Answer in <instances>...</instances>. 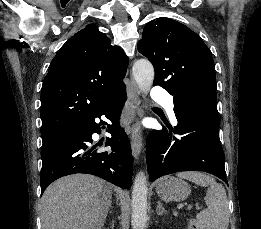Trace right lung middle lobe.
<instances>
[{"label": "right lung middle lobe", "mask_w": 261, "mask_h": 229, "mask_svg": "<svg viewBox=\"0 0 261 229\" xmlns=\"http://www.w3.org/2000/svg\"><path fill=\"white\" fill-rule=\"evenodd\" d=\"M41 136L43 140V146L48 145L53 140L61 136V133L56 130H44L41 131Z\"/></svg>", "instance_id": "1"}]
</instances>
